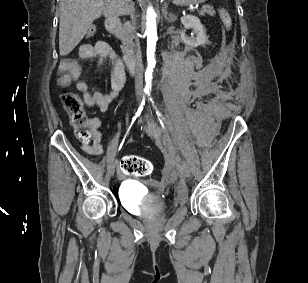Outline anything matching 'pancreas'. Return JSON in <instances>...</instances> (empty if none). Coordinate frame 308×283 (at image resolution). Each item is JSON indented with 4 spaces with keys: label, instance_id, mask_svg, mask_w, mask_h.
Wrapping results in <instances>:
<instances>
[{
    "label": "pancreas",
    "instance_id": "1",
    "mask_svg": "<svg viewBox=\"0 0 308 283\" xmlns=\"http://www.w3.org/2000/svg\"><path fill=\"white\" fill-rule=\"evenodd\" d=\"M205 13L209 15H213V11L211 7H205L199 12V15L204 16ZM121 41H122V49L126 53H133L134 42L133 39L135 38V26L133 23L125 22L124 25L120 28L119 34Z\"/></svg>",
    "mask_w": 308,
    "mask_h": 283
}]
</instances>
